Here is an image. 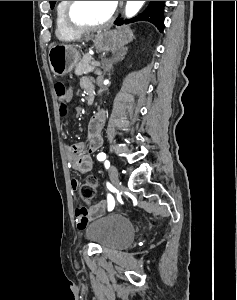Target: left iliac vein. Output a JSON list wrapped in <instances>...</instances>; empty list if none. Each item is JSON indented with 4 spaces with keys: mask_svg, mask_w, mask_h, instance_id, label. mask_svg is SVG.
I'll use <instances>...</instances> for the list:
<instances>
[{
    "mask_svg": "<svg viewBox=\"0 0 237 300\" xmlns=\"http://www.w3.org/2000/svg\"><path fill=\"white\" fill-rule=\"evenodd\" d=\"M109 176L111 178V181L112 183L114 184L115 187L117 188H121V184L119 182V175H118V171H117V168L116 166L114 165H111L110 168H109Z\"/></svg>",
    "mask_w": 237,
    "mask_h": 300,
    "instance_id": "left-iliac-vein-1",
    "label": "left iliac vein"
}]
</instances>
